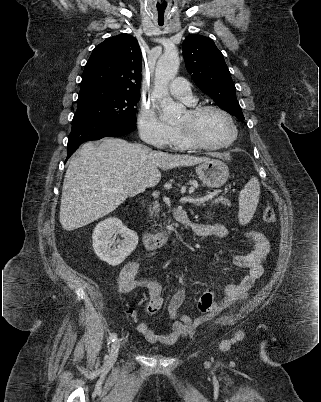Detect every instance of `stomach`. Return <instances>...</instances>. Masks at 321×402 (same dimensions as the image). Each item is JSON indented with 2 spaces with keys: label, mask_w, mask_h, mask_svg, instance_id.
Masks as SVG:
<instances>
[{
  "label": "stomach",
  "mask_w": 321,
  "mask_h": 402,
  "mask_svg": "<svg viewBox=\"0 0 321 402\" xmlns=\"http://www.w3.org/2000/svg\"><path fill=\"white\" fill-rule=\"evenodd\" d=\"M202 183L210 188L222 186L229 177L227 165L220 160H208L196 167Z\"/></svg>",
  "instance_id": "obj_1"
}]
</instances>
